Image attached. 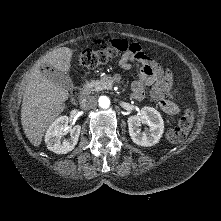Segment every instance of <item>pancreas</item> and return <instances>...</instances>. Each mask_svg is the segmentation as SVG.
<instances>
[{"instance_id": "obj_1", "label": "pancreas", "mask_w": 221, "mask_h": 221, "mask_svg": "<svg viewBox=\"0 0 221 221\" xmlns=\"http://www.w3.org/2000/svg\"><path fill=\"white\" fill-rule=\"evenodd\" d=\"M113 85V79L110 76H104L100 80H92L89 82L87 92L101 91L110 89Z\"/></svg>"}]
</instances>
